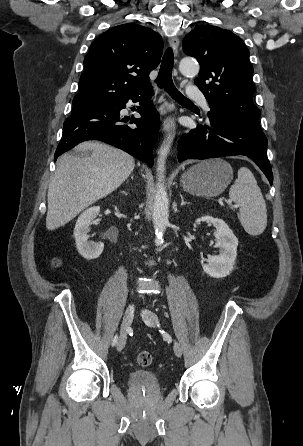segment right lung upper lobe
Wrapping results in <instances>:
<instances>
[{
	"label": "right lung upper lobe",
	"mask_w": 303,
	"mask_h": 446,
	"mask_svg": "<svg viewBox=\"0 0 303 446\" xmlns=\"http://www.w3.org/2000/svg\"><path fill=\"white\" fill-rule=\"evenodd\" d=\"M161 36L134 23L113 27L90 46L76 98L110 105L151 90L149 73L162 55Z\"/></svg>",
	"instance_id": "obj_1"
}]
</instances>
